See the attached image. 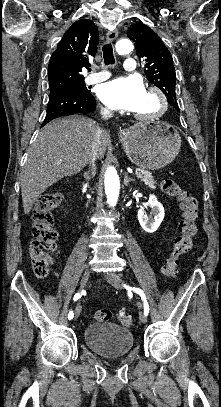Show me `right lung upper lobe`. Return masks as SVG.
Wrapping results in <instances>:
<instances>
[{
    "instance_id": "1",
    "label": "right lung upper lobe",
    "mask_w": 221,
    "mask_h": 407,
    "mask_svg": "<svg viewBox=\"0 0 221 407\" xmlns=\"http://www.w3.org/2000/svg\"><path fill=\"white\" fill-rule=\"evenodd\" d=\"M98 44V30L89 20L74 22L51 55L48 66L50 88H56L84 81L82 69L89 67L95 57Z\"/></svg>"
}]
</instances>
